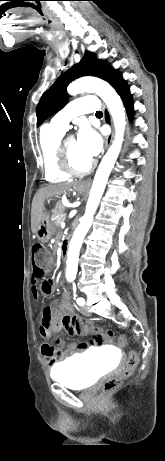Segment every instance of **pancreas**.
<instances>
[{
    "label": "pancreas",
    "mask_w": 165,
    "mask_h": 461,
    "mask_svg": "<svg viewBox=\"0 0 165 461\" xmlns=\"http://www.w3.org/2000/svg\"><path fill=\"white\" fill-rule=\"evenodd\" d=\"M64 211L65 207L61 203H58L52 211V220L57 228H59L60 224L65 220V217L63 216Z\"/></svg>",
    "instance_id": "obj_1"
}]
</instances>
